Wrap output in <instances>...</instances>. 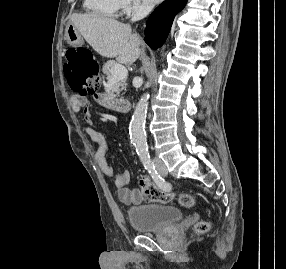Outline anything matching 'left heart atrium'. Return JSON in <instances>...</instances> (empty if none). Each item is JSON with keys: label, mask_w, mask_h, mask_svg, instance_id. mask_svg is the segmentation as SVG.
<instances>
[{"label": "left heart atrium", "mask_w": 286, "mask_h": 269, "mask_svg": "<svg viewBox=\"0 0 286 269\" xmlns=\"http://www.w3.org/2000/svg\"><path fill=\"white\" fill-rule=\"evenodd\" d=\"M147 3H149V4H157V3H159L160 1H162V0H145Z\"/></svg>", "instance_id": "left-heart-atrium-1"}]
</instances>
